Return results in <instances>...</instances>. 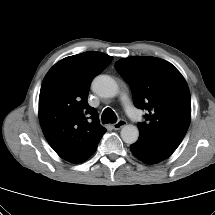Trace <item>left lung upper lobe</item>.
Here are the masks:
<instances>
[{
    "label": "left lung upper lobe",
    "mask_w": 215,
    "mask_h": 215,
    "mask_svg": "<svg viewBox=\"0 0 215 215\" xmlns=\"http://www.w3.org/2000/svg\"><path fill=\"white\" fill-rule=\"evenodd\" d=\"M115 68L131 88L134 105L146 110L139 137L175 151L191 120V96L181 73L156 57H129Z\"/></svg>",
    "instance_id": "obj_1"
}]
</instances>
